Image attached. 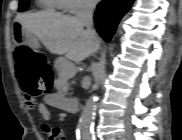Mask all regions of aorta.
<instances>
[{
  "instance_id": "762f6f07",
  "label": "aorta",
  "mask_w": 182,
  "mask_h": 140,
  "mask_svg": "<svg viewBox=\"0 0 182 140\" xmlns=\"http://www.w3.org/2000/svg\"><path fill=\"white\" fill-rule=\"evenodd\" d=\"M97 97L91 95L87 100L78 123V134L82 140H91L93 137V120Z\"/></svg>"
}]
</instances>
